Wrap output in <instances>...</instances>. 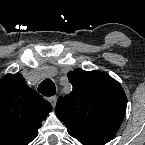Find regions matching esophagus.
Instances as JSON below:
<instances>
[{
  "mask_svg": "<svg viewBox=\"0 0 145 145\" xmlns=\"http://www.w3.org/2000/svg\"><path fill=\"white\" fill-rule=\"evenodd\" d=\"M49 102L51 103L52 107L55 108L57 97L56 96L49 97Z\"/></svg>",
  "mask_w": 145,
  "mask_h": 145,
  "instance_id": "obj_1",
  "label": "esophagus"
}]
</instances>
